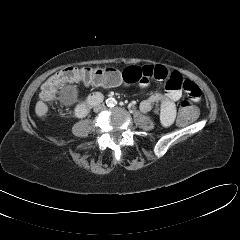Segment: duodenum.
<instances>
[{
	"label": "duodenum",
	"instance_id": "duodenum-1",
	"mask_svg": "<svg viewBox=\"0 0 240 240\" xmlns=\"http://www.w3.org/2000/svg\"><path fill=\"white\" fill-rule=\"evenodd\" d=\"M102 100V96L100 94H93L91 95L86 101L79 104L76 109L75 113L78 117H84L87 115L89 110L100 103Z\"/></svg>",
	"mask_w": 240,
	"mask_h": 240
}]
</instances>
